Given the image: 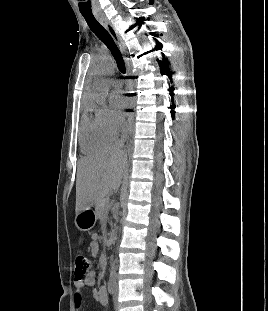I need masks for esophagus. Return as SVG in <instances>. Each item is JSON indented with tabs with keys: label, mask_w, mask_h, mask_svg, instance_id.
<instances>
[{
	"label": "esophagus",
	"mask_w": 268,
	"mask_h": 311,
	"mask_svg": "<svg viewBox=\"0 0 268 311\" xmlns=\"http://www.w3.org/2000/svg\"><path fill=\"white\" fill-rule=\"evenodd\" d=\"M96 18L104 26V28L109 32V34L111 35V37L113 38V40L115 41L117 46L119 47L120 51L124 55V59H125L126 66H127V74H129V72H130V63H129V59L126 57V47H125L124 42L122 41L120 35L118 34V32L113 27V25L110 23V21L105 16L97 15ZM131 97H133L134 105H133L132 109H134L135 108V102H138V97H139L137 90H135V89L132 90ZM133 120H134V111H131V113H130V115L128 117V131H129V134L133 130Z\"/></svg>",
	"instance_id": "esophagus-1"
}]
</instances>
